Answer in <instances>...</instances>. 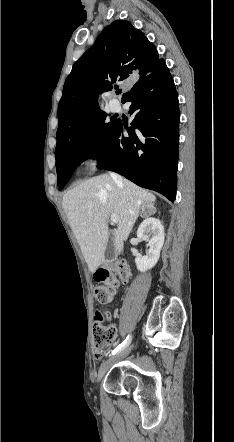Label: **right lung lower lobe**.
Masks as SVG:
<instances>
[{"instance_id":"obj_1","label":"right lung lower lobe","mask_w":234,"mask_h":442,"mask_svg":"<svg viewBox=\"0 0 234 442\" xmlns=\"http://www.w3.org/2000/svg\"><path fill=\"white\" fill-rule=\"evenodd\" d=\"M131 102L132 127L117 120L96 157L98 168L119 173L135 184L157 191L172 202L176 197L179 145V105L173 78L165 62L137 82L123 99ZM127 130L129 137H124Z\"/></svg>"}]
</instances>
